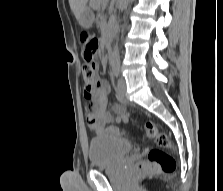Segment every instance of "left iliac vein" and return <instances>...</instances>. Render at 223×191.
<instances>
[{
  "label": "left iliac vein",
  "instance_id": "4c4485c4",
  "mask_svg": "<svg viewBox=\"0 0 223 191\" xmlns=\"http://www.w3.org/2000/svg\"><path fill=\"white\" fill-rule=\"evenodd\" d=\"M118 92L122 97L126 95V81L124 78L118 80Z\"/></svg>",
  "mask_w": 223,
  "mask_h": 191
}]
</instances>
